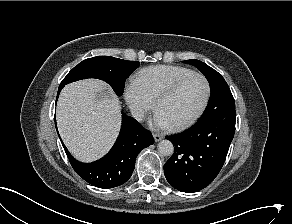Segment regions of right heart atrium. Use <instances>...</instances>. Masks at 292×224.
<instances>
[{
	"label": "right heart atrium",
	"instance_id": "right-heart-atrium-1",
	"mask_svg": "<svg viewBox=\"0 0 292 224\" xmlns=\"http://www.w3.org/2000/svg\"><path fill=\"white\" fill-rule=\"evenodd\" d=\"M124 97L131 113L137 119H143L145 114L154 108V101L135 80L126 85Z\"/></svg>",
	"mask_w": 292,
	"mask_h": 224
}]
</instances>
